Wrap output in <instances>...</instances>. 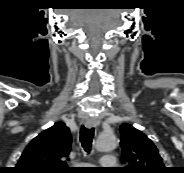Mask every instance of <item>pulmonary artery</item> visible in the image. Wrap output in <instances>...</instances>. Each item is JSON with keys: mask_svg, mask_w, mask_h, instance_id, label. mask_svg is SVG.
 <instances>
[{"mask_svg": "<svg viewBox=\"0 0 184 173\" xmlns=\"http://www.w3.org/2000/svg\"><path fill=\"white\" fill-rule=\"evenodd\" d=\"M100 165L104 168H111L116 165V158L113 155H105L101 159Z\"/></svg>", "mask_w": 184, "mask_h": 173, "instance_id": "1", "label": "pulmonary artery"}]
</instances>
